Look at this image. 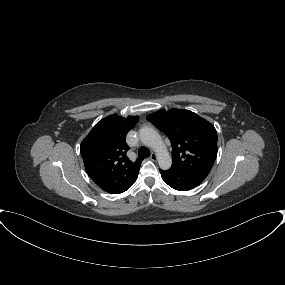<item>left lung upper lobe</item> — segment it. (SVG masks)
<instances>
[{"label":"left lung upper lobe","mask_w":285,"mask_h":285,"mask_svg":"<svg viewBox=\"0 0 285 285\" xmlns=\"http://www.w3.org/2000/svg\"><path fill=\"white\" fill-rule=\"evenodd\" d=\"M171 141L172 167L210 172L217 156V132L212 124L189 110H159L147 117Z\"/></svg>","instance_id":"5c2ea615"}]
</instances>
